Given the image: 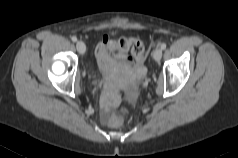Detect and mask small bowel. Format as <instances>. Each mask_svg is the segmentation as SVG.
<instances>
[{
    "label": "small bowel",
    "instance_id": "obj_1",
    "mask_svg": "<svg viewBox=\"0 0 238 158\" xmlns=\"http://www.w3.org/2000/svg\"><path fill=\"white\" fill-rule=\"evenodd\" d=\"M114 41L109 36H104L102 41L97 45L95 55L97 60V65L102 70L110 69L116 63H121L123 65L129 66L132 64V59L123 53H119L114 48ZM103 104L108 108L111 104V97L105 96L103 98Z\"/></svg>",
    "mask_w": 238,
    "mask_h": 158
}]
</instances>
